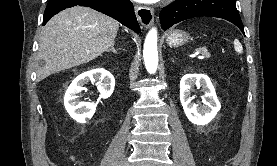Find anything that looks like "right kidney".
<instances>
[{
  "mask_svg": "<svg viewBox=\"0 0 277 166\" xmlns=\"http://www.w3.org/2000/svg\"><path fill=\"white\" fill-rule=\"evenodd\" d=\"M98 81L100 97L106 99L111 96L115 86L114 77L103 69H94L76 77L68 87L64 96V105L69 115L79 123H85L96 110V104L79 101L78 93L84 90L83 85L88 81Z\"/></svg>",
  "mask_w": 277,
  "mask_h": 166,
  "instance_id": "ca27d5eb",
  "label": "right kidney"
}]
</instances>
